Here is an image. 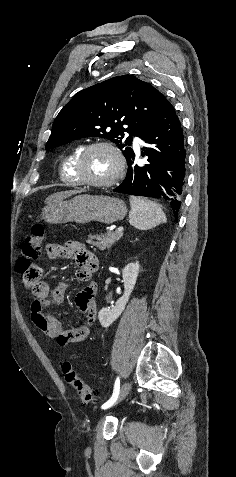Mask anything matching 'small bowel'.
I'll return each instance as SVG.
<instances>
[{
	"label": "small bowel",
	"mask_w": 236,
	"mask_h": 477,
	"mask_svg": "<svg viewBox=\"0 0 236 477\" xmlns=\"http://www.w3.org/2000/svg\"><path fill=\"white\" fill-rule=\"evenodd\" d=\"M47 252L53 259H75L76 279L87 283L75 296V304L86 319H82L76 327H66L48 313L45 310L47 307L60 305L64 301L67 284L60 281L50 290L48 283L42 281L37 293L33 294L34 300L30 305L32 322L46 337L55 340L62 347L80 344L90 336L95 320L96 284L92 278L97 269L98 259L78 241H67L64 244L50 243Z\"/></svg>",
	"instance_id": "1"
}]
</instances>
